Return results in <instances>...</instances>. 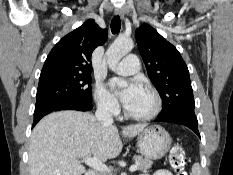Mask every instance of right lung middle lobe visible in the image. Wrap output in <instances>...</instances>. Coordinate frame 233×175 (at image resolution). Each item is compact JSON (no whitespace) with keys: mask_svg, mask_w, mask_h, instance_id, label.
I'll return each mask as SVG.
<instances>
[{"mask_svg":"<svg viewBox=\"0 0 233 175\" xmlns=\"http://www.w3.org/2000/svg\"><path fill=\"white\" fill-rule=\"evenodd\" d=\"M36 97L35 108L58 102L92 103L90 73L42 77Z\"/></svg>","mask_w":233,"mask_h":175,"instance_id":"right-lung-middle-lobe-1","label":"right lung middle lobe"}]
</instances>
